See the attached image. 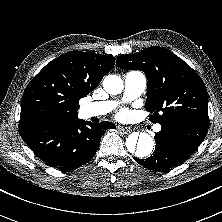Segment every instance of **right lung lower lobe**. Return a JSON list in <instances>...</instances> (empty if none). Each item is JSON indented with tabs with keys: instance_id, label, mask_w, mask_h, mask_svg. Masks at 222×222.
I'll list each match as a JSON object with an SVG mask.
<instances>
[{
	"instance_id": "1",
	"label": "right lung lower lobe",
	"mask_w": 222,
	"mask_h": 222,
	"mask_svg": "<svg viewBox=\"0 0 222 222\" xmlns=\"http://www.w3.org/2000/svg\"><path fill=\"white\" fill-rule=\"evenodd\" d=\"M88 125V126H87ZM116 126L75 121L70 124H38L20 129L29 148L47 165L60 170H74L96 154L104 130Z\"/></svg>"
}]
</instances>
